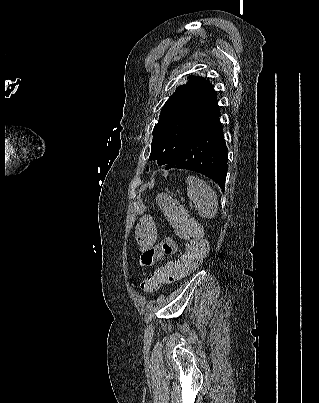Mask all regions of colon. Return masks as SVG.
<instances>
[{"instance_id":"obj_1","label":"colon","mask_w":319,"mask_h":403,"mask_svg":"<svg viewBox=\"0 0 319 403\" xmlns=\"http://www.w3.org/2000/svg\"><path fill=\"white\" fill-rule=\"evenodd\" d=\"M158 200L167 211L177 236L185 241V251L175 262L159 267L143 281L141 289L145 293H153L162 284L172 283L182 275L192 272L206 256L209 247L208 241L202 236L200 225L187 217L173 198L161 195ZM135 227L136 251H145L146 247H155V243L160 242L161 222L156 221V218H135ZM141 262L152 265L145 264L142 258Z\"/></svg>"}]
</instances>
